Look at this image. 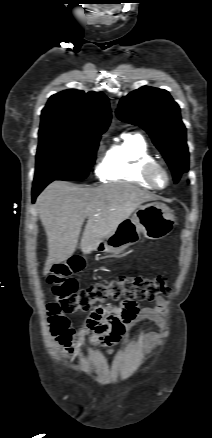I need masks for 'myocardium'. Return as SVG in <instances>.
<instances>
[{"label":"myocardium","instance_id":"f54148a6","mask_svg":"<svg viewBox=\"0 0 212 438\" xmlns=\"http://www.w3.org/2000/svg\"><path fill=\"white\" fill-rule=\"evenodd\" d=\"M158 169H161L167 177V182L162 187L156 185V183L154 182V178H153L154 172ZM141 176L143 177V179L147 183H149L152 186L153 189H156V190H164L171 183V174H170L168 168L163 163H161L160 161H157V160H151V161H148L147 163H145L144 166L141 168Z\"/></svg>","mask_w":212,"mask_h":438}]
</instances>
